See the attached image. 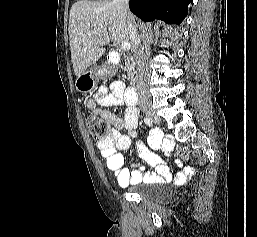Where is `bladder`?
Listing matches in <instances>:
<instances>
[{"label": "bladder", "mask_w": 257, "mask_h": 237, "mask_svg": "<svg viewBox=\"0 0 257 237\" xmlns=\"http://www.w3.org/2000/svg\"><path fill=\"white\" fill-rule=\"evenodd\" d=\"M144 183H146V184H152V183H147V182H144ZM136 193H137L138 195H140L141 197H147V196H148L147 192L144 191V190H142V189L137 190ZM153 199H159V200H160V199H163V197H162V196H160V197H153Z\"/></svg>", "instance_id": "bladder-1"}]
</instances>
